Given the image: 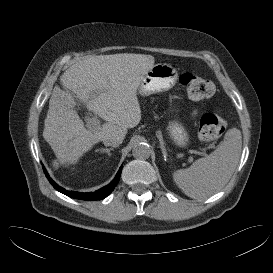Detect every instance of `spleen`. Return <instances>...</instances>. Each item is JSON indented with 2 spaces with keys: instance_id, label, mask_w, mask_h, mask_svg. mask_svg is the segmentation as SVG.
Returning a JSON list of instances; mask_svg holds the SVG:
<instances>
[{
  "instance_id": "spleen-1",
  "label": "spleen",
  "mask_w": 273,
  "mask_h": 273,
  "mask_svg": "<svg viewBox=\"0 0 273 273\" xmlns=\"http://www.w3.org/2000/svg\"><path fill=\"white\" fill-rule=\"evenodd\" d=\"M242 135L229 129L220 146L191 167L173 173L176 185L190 198H207L221 190L232 177L241 155Z\"/></svg>"
}]
</instances>
